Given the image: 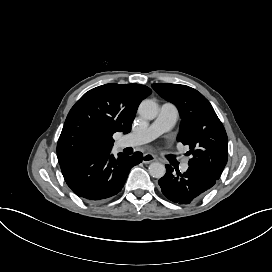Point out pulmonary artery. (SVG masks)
Wrapping results in <instances>:
<instances>
[{
    "label": "pulmonary artery",
    "instance_id": "1",
    "mask_svg": "<svg viewBox=\"0 0 272 272\" xmlns=\"http://www.w3.org/2000/svg\"><path fill=\"white\" fill-rule=\"evenodd\" d=\"M177 118L178 112L176 108L168 103L163 104L159 109L157 118L152 124L138 132L123 137L117 144L122 145L123 141L127 145L136 143L145 144L152 141L160 134L169 131L176 123ZM177 167L181 172H187L189 170V167L183 161L178 162Z\"/></svg>",
    "mask_w": 272,
    "mask_h": 272
}]
</instances>
